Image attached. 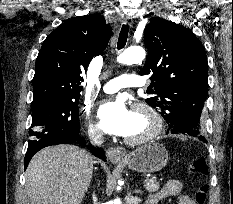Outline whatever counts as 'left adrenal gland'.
<instances>
[{"instance_id": "obj_1", "label": "left adrenal gland", "mask_w": 233, "mask_h": 204, "mask_svg": "<svg viewBox=\"0 0 233 204\" xmlns=\"http://www.w3.org/2000/svg\"><path fill=\"white\" fill-rule=\"evenodd\" d=\"M135 193H140L142 194V192L140 190H135Z\"/></svg>"}]
</instances>
